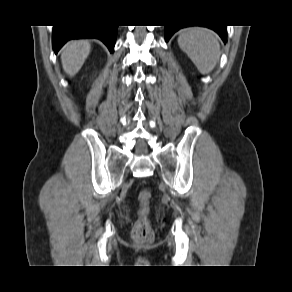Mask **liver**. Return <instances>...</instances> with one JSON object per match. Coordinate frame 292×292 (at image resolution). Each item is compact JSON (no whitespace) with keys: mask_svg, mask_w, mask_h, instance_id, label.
<instances>
[{"mask_svg":"<svg viewBox=\"0 0 292 292\" xmlns=\"http://www.w3.org/2000/svg\"><path fill=\"white\" fill-rule=\"evenodd\" d=\"M91 51V44L87 40L71 41L67 43L61 54V62L66 74L73 77L83 66Z\"/></svg>","mask_w":292,"mask_h":292,"instance_id":"6515ba94","label":"liver"}]
</instances>
